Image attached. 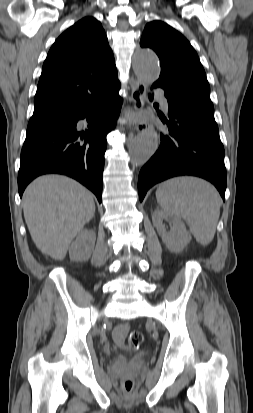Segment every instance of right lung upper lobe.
<instances>
[{
  "label": "right lung upper lobe",
  "instance_id": "right-lung-upper-lobe-1",
  "mask_svg": "<svg viewBox=\"0 0 253 413\" xmlns=\"http://www.w3.org/2000/svg\"><path fill=\"white\" fill-rule=\"evenodd\" d=\"M116 74L101 23L93 17L81 19L52 45L43 64L32 117L63 113L96 97Z\"/></svg>",
  "mask_w": 253,
  "mask_h": 413
}]
</instances>
